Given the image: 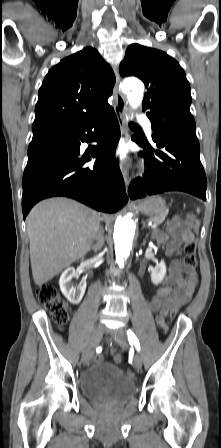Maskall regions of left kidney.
I'll list each match as a JSON object with an SVG mask.
<instances>
[{
	"label": "left kidney",
	"instance_id": "obj_1",
	"mask_svg": "<svg viewBox=\"0 0 221 448\" xmlns=\"http://www.w3.org/2000/svg\"><path fill=\"white\" fill-rule=\"evenodd\" d=\"M166 274V265L162 260L159 264L155 266V268L151 272V281L153 284L158 285L165 277Z\"/></svg>",
	"mask_w": 221,
	"mask_h": 448
}]
</instances>
